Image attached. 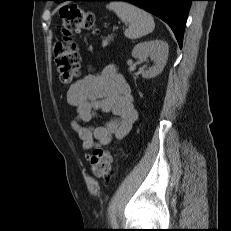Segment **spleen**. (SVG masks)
<instances>
[{"mask_svg": "<svg viewBox=\"0 0 231 231\" xmlns=\"http://www.w3.org/2000/svg\"><path fill=\"white\" fill-rule=\"evenodd\" d=\"M107 8L114 11L122 22L128 24L124 34L129 39L141 38L155 28L152 15L132 4L115 1L110 2Z\"/></svg>", "mask_w": 231, "mask_h": 231, "instance_id": "1", "label": "spleen"}]
</instances>
